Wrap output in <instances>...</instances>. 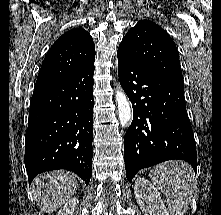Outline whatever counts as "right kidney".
Returning a JSON list of instances; mask_svg holds the SVG:
<instances>
[{"label":"right kidney","mask_w":221,"mask_h":215,"mask_svg":"<svg viewBox=\"0 0 221 215\" xmlns=\"http://www.w3.org/2000/svg\"><path fill=\"white\" fill-rule=\"evenodd\" d=\"M78 198H71L65 205L59 210L57 215H73L76 206L78 205Z\"/></svg>","instance_id":"ca27d5eb"}]
</instances>
